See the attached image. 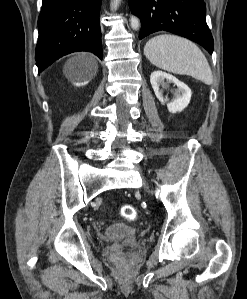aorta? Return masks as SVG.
<instances>
[{"instance_id": "obj_1", "label": "aorta", "mask_w": 247, "mask_h": 299, "mask_svg": "<svg viewBox=\"0 0 247 299\" xmlns=\"http://www.w3.org/2000/svg\"><path fill=\"white\" fill-rule=\"evenodd\" d=\"M121 0H112L111 1V8L116 10L117 7L119 6V3H120Z\"/></svg>"}]
</instances>
